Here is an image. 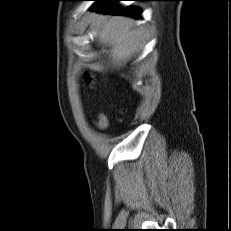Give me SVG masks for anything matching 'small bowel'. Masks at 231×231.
Here are the masks:
<instances>
[{
	"label": "small bowel",
	"instance_id": "1",
	"mask_svg": "<svg viewBox=\"0 0 231 231\" xmlns=\"http://www.w3.org/2000/svg\"><path fill=\"white\" fill-rule=\"evenodd\" d=\"M96 125L98 128H105L107 125L106 117L102 114H100L97 118Z\"/></svg>",
	"mask_w": 231,
	"mask_h": 231
}]
</instances>
